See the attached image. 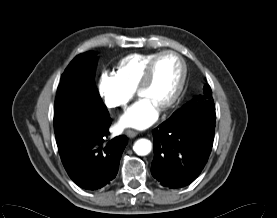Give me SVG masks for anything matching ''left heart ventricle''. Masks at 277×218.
Segmentation results:
<instances>
[{"mask_svg": "<svg viewBox=\"0 0 277 218\" xmlns=\"http://www.w3.org/2000/svg\"><path fill=\"white\" fill-rule=\"evenodd\" d=\"M181 77V65L176 57L167 55L156 64L151 82L141 92L161 108L174 94Z\"/></svg>", "mask_w": 277, "mask_h": 218, "instance_id": "1", "label": "left heart ventricle"}]
</instances>
